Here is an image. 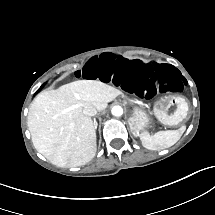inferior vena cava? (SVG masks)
Segmentation results:
<instances>
[{"mask_svg": "<svg viewBox=\"0 0 215 215\" xmlns=\"http://www.w3.org/2000/svg\"><path fill=\"white\" fill-rule=\"evenodd\" d=\"M83 114L87 116H94L97 114V110L95 107L88 105L84 107Z\"/></svg>", "mask_w": 215, "mask_h": 215, "instance_id": "602c4592", "label": "inferior vena cava"}]
</instances>
